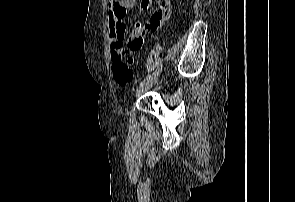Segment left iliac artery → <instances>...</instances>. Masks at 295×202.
Returning <instances> with one entry per match:
<instances>
[{
    "instance_id": "44dca946",
    "label": "left iliac artery",
    "mask_w": 295,
    "mask_h": 202,
    "mask_svg": "<svg viewBox=\"0 0 295 202\" xmlns=\"http://www.w3.org/2000/svg\"><path fill=\"white\" fill-rule=\"evenodd\" d=\"M161 69H162V66L158 67V68L152 73V75H149L146 79H144L143 81H141V82H140V85L143 84V83H145V82L148 81V80H151V79L155 78V77L159 74V72L161 71Z\"/></svg>"
}]
</instances>
